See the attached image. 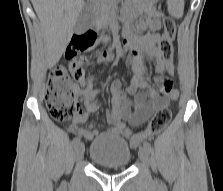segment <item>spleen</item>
Here are the masks:
<instances>
[{
	"label": "spleen",
	"mask_w": 223,
	"mask_h": 191,
	"mask_svg": "<svg viewBox=\"0 0 223 191\" xmlns=\"http://www.w3.org/2000/svg\"><path fill=\"white\" fill-rule=\"evenodd\" d=\"M169 13L175 18H181L184 10V0H168Z\"/></svg>",
	"instance_id": "1"
}]
</instances>
